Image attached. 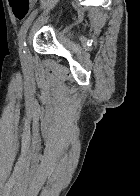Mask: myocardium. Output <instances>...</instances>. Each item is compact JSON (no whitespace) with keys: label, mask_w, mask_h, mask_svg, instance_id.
<instances>
[{"label":"myocardium","mask_w":140,"mask_h":196,"mask_svg":"<svg viewBox=\"0 0 140 196\" xmlns=\"http://www.w3.org/2000/svg\"><path fill=\"white\" fill-rule=\"evenodd\" d=\"M43 192H63V191H43Z\"/></svg>","instance_id":"myocardium-1"}]
</instances>
